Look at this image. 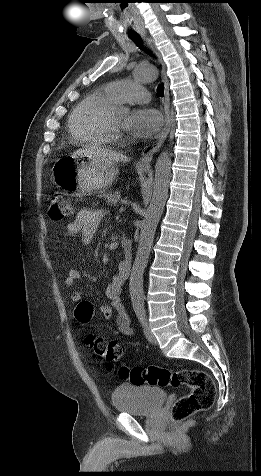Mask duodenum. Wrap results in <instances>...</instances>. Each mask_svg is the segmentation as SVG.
I'll list each match as a JSON object with an SVG mask.
<instances>
[{
  "label": "duodenum",
  "instance_id": "1",
  "mask_svg": "<svg viewBox=\"0 0 261 476\" xmlns=\"http://www.w3.org/2000/svg\"><path fill=\"white\" fill-rule=\"evenodd\" d=\"M121 247H122L123 256H124V259H123L121 265H122L123 270L125 272L129 273L130 268H131V263H132V257H133L132 243L129 239L122 238Z\"/></svg>",
  "mask_w": 261,
  "mask_h": 476
}]
</instances>
